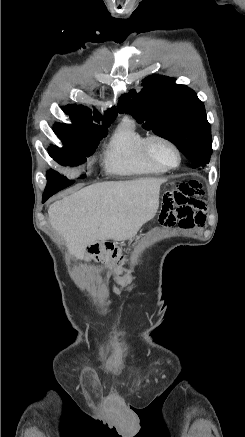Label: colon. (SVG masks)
I'll use <instances>...</instances> for the list:
<instances>
[{"label": "colon", "mask_w": 245, "mask_h": 437, "mask_svg": "<svg viewBox=\"0 0 245 437\" xmlns=\"http://www.w3.org/2000/svg\"><path fill=\"white\" fill-rule=\"evenodd\" d=\"M95 260L105 263L114 271H119L123 262V255L114 245L106 244L95 252Z\"/></svg>", "instance_id": "obj_1"}]
</instances>
